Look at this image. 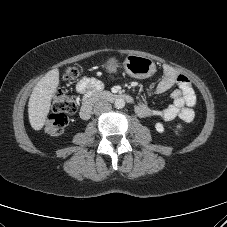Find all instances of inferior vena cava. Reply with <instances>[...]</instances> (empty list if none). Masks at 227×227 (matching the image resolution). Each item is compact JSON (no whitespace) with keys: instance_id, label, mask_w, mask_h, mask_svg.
Here are the masks:
<instances>
[{"instance_id":"1","label":"inferior vena cava","mask_w":227,"mask_h":227,"mask_svg":"<svg viewBox=\"0 0 227 227\" xmlns=\"http://www.w3.org/2000/svg\"><path fill=\"white\" fill-rule=\"evenodd\" d=\"M112 109V106L109 102L107 101H98L95 105H94V114L96 115H100L102 113L108 112Z\"/></svg>"}]
</instances>
